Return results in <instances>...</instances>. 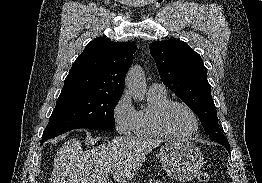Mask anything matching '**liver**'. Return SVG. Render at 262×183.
I'll list each match as a JSON object with an SVG mask.
<instances>
[{"instance_id":"obj_1","label":"liver","mask_w":262,"mask_h":183,"mask_svg":"<svg viewBox=\"0 0 262 183\" xmlns=\"http://www.w3.org/2000/svg\"><path fill=\"white\" fill-rule=\"evenodd\" d=\"M163 140L118 136L107 143L83 151L77 138L66 141L54 159L50 183H117L131 180L152 149Z\"/></svg>"}]
</instances>
